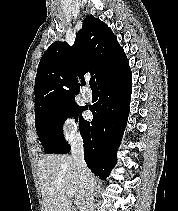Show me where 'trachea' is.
<instances>
[{
	"label": "trachea",
	"mask_w": 178,
	"mask_h": 211,
	"mask_svg": "<svg viewBox=\"0 0 178 211\" xmlns=\"http://www.w3.org/2000/svg\"><path fill=\"white\" fill-rule=\"evenodd\" d=\"M89 84H90L91 89H97V84H96V81H95V76H92L90 78Z\"/></svg>",
	"instance_id": "trachea-1"
}]
</instances>
